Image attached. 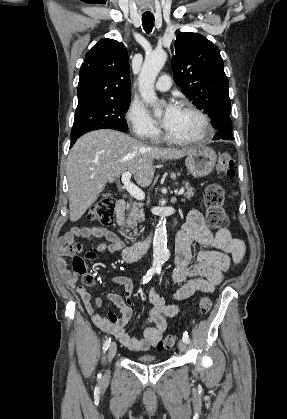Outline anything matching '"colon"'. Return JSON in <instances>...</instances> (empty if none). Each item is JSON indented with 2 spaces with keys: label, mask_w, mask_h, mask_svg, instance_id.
Wrapping results in <instances>:
<instances>
[{
  "label": "colon",
  "mask_w": 287,
  "mask_h": 419,
  "mask_svg": "<svg viewBox=\"0 0 287 419\" xmlns=\"http://www.w3.org/2000/svg\"><path fill=\"white\" fill-rule=\"evenodd\" d=\"M217 169L225 177L233 178L234 161L229 153L219 155ZM224 188L218 183L209 184L204 191V204L206 207L207 221L212 228L222 229L228 225V217L224 210ZM89 219L97 221L103 225H112L115 221V201L112 198H104L98 201L89 212ZM67 246L74 252H80L81 247L78 243L68 242ZM94 258L93 253H86L84 256L75 255L73 257V270L77 274H84L87 268V261ZM86 282L90 283L91 278L86 277ZM212 307V302L208 297H203L198 306L199 313L207 314ZM177 336L169 334L160 339L156 348L158 350H169L176 343Z\"/></svg>",
  "instance_id": "obj_1"
}]
</instances>
